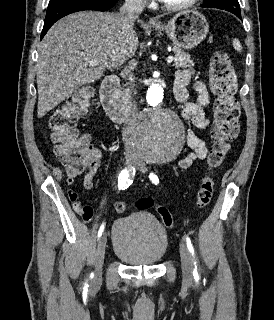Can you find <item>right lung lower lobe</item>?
<instances>
[{
  "label": "right lung lower lobe",
  "mask_w": 274,
  "mask_h": 320,
  "mask_svg": "<svg viewBox=\"0 0 274 320\" xmlns=\"http://www.w3.org/2000/svg\"><path fill=\"white\" fill-rule=\"evenodd\" d=\"M117 1L118 0H64L48 6L41 39L49 28L62 17L84 10L107 11L111 9Z\"/></svg>",
  "instance_id": "98d812e1"
}]
</instances>
